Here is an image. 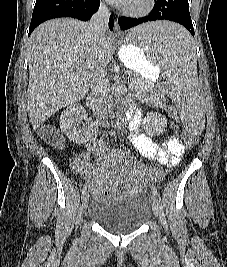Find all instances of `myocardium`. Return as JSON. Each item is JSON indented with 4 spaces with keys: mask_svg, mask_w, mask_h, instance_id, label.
<instances>
[{
    "mask_svg": "<svg viewBox=\"0 0 227 267\" xmlns=\"http://www.w3.org/2000/svg\"><path fill=\"white\" fill-rule=\"evenodd\" d=\"M156 0H142L137 4H129L124 8L126 14L141 17L149 14L155 7Z\"/></svg>",
    "mask_w": 227,
    "mask_h": 267,
    "instance_id": "myocardium-1",
    "label": "myocardium"
}]
</instances>
